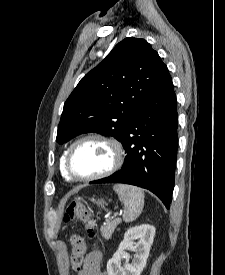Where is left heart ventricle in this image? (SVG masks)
Segmentation results:
<instances>
[{
	"instance_id": "obj_1",
	"label": "left heart ventricle",
	"mask_w": 225,
	"mask_h": 275,
	"mask_svg": "<svg viewBox=\"0 0 225 275\" xmlns=\"http://www.w3.org/2000/svg\"><path fill=\"white\" fill-rule=\"evenodd\" d=\"M112 160V150L107 144L89 140L75 148L71 157V167L78 175H93L108 169Z\"/></svg>"
}]
</instances>
